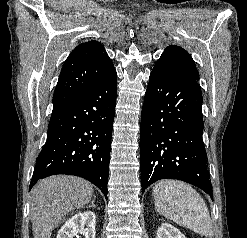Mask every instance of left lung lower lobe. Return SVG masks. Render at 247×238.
<instances>
[{
	"label": "left lung lower lobe",
	"instance_id": "1",
	"mask_svg": "<svg viewBox=\"0 0 247 238\" xmlns=\"http://www.w3.org/2000/svg\"><path fill=\"white\" fill-rule=\"evenodd\" d=\"M202 134V92L198 81L157 61L141 115L142 192L160 179H178L211 196Z\"/></svg>",
	"mask_w": 247,
	"mask_h": 238
}]
</instances>
